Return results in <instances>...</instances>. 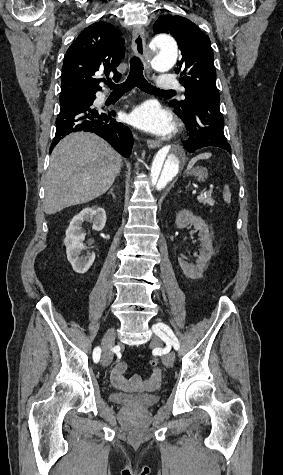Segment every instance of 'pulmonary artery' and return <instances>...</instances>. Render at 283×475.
<instances>
[{
	"instance_id": "e3ab8cb5",
	"label": "pulmonary artery",
	"mask_w": 283,
	"mask_h": 475,
	"mask_svg": "<svg viewBox=\"0 0 283 475\" xmlns=\"http://www.w3.org/2000/svg\"><path fill=\"white\" fill-rule=\"evenodd\" d=\"M177 87H180L182 90L180 91L182 94L185 92L184 87H182L180 84L176 85L175 80H156L155 81V88L156 89H175Z\"/></svg>"
}]
</instances>
